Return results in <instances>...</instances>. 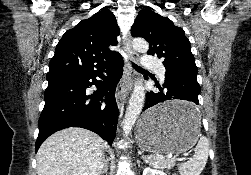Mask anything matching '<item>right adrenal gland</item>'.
I'll use <instances>...</instances> for the list:
<instances>
[{
  "instance_id": "right-adrenal-gland-1",
  "label": "right adrenal gland",
  "mask_w": 251,
  "mask_h": 175,
  "mask_svg": "<svg viewBox=\"0 0 251 175\" xmlns=\"http://www.w3.org/2000/svg\"><path fill=\"white\" fill-rule=\"evenodd\" d=\"M101 173H102V175H104V173H105V175H107V173H108V165H107V163H105V165H104Z\"/></svg>"
}]
</instances>
